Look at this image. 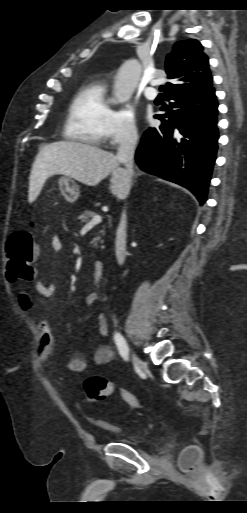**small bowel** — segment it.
<instances>
[{
    "label": "small bowel",
    "instance_id": "small-bowel-1",
    "mask_svg": "<svg viewBox=\"0 0 247 513\" xmlns=\"http://www.w3.org/2000/svg\"><path fill=\"white\" fill-rule=\"evenodd\" d=\"M51 248L55 253H59L62 249V239L60 236L55 235L51 239ZM36 292L42 297H51L56 290V285L53 282H42L37 278V272L34 270V275L31 279ZM99 301V295L95 292L88 293L84 298V303L87 307L94 306ZM19 303L22 307L27 309L31 308L32 299L29 294L21 289L19 292ZM38 330L40 338L38 342V356L44 363H49L53 356L54 351V335L48 321L40 320L38 323ZM97 330L100 336L105 337L108 333V322L104 314H100L97 318ZM93 360L97 365H105L113 360L112 349L105 345H99L93 356ZM88 363L82 354H75L71 356L66 362V368L74 373H82L87 369Z\"/></svg>",
    "mask_w": 247,
    "mask_h": 513
}]
</instances>
